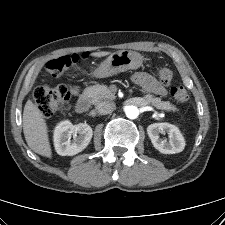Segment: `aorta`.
<instances>
[{
	"instance_id": "obj_1",
	"label": "aorta",
	"mask_w": 225,
	"mask_h": 225,
	"mask_svg": "<svg viewBox=\"0 0 225 225\" xmlns=\"http://www.w3.org/2000/svg\"><path fill=\"white\" fill-rule=\"evenodd\" d=\"M125 113L129 119H136L139 116V109L136 106L130 105L126 107Z\"/></svg>"
}]
</instances>
